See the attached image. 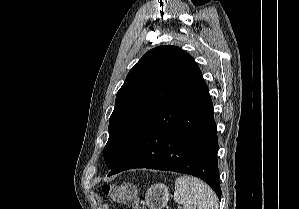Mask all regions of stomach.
Masks as SVG:
<instances>
[{
	"label": "stomach",
	"mask_w": 299,
	"mask_h": 209,
	"mask_svg": "<svg viewBox=\"0 0 299 209\" xmlns=\"http://www.w3.org/2000/svg\"><path fill=\"white\" fill-rule=\"evenodd\" d=\"M169 189L163 183L152 185L145 194L144 204L150 209H162L169 201Z\"/></svg>",
	"instance_id": "stomach-1"
}]
</instances>
